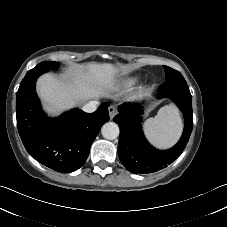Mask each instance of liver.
Segmentation results:
<instances>
[{"instance_id": "liver-1", "label": "liver", "mask_w": 227, "mask_h": 227, "mask_svg": "<svg viewBox=\"0 0 227 227\" xmlns=\"http://www.w3.org/2000/svg\"><path fill=\"white\" fill-rule=\"evenodd\" d=\"M130 69L129 65L82 64L69 69L62 77L42 75L37 81V92L44 109L48 113L59 114L92 98L111 95L117 89L119 74Z\"/></svg>"}]
</instances>
